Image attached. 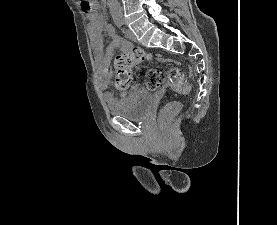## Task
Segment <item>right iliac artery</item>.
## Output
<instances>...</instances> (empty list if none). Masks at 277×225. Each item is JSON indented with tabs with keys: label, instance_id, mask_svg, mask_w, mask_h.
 Wrapping results in <instances>:
<instances>
[{
	"label": "right iliac artery",
	"instance_id": "right-iliac-artery-1",
	"mask_svg": "<svg viewBox=\"0 0 277 225\" xmlns=\"http://www.w3.org/2000/svg\"><path fill=\"white\" fill-rule=\"evenodd\" d=\"M116 25H117V27H118V28H121V26H122V22L117 21V22H116Z\"/></svg>",
	"mask_w": 277,
	"mask_h": 225
}]
</instances>
